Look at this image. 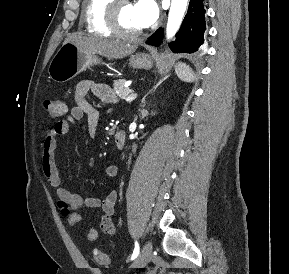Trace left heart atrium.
<instances>
[{"label": "left heart atrium", "mask_w": 289, "mask_h": 274, "mask_svg": "<svg viewBox=\"0 0 289 274\" xmlns=\"http://www.w3.org/2000/svg\"><path fill=\"white\" fill-rule=\"evenodd\" d=\"M137 22L142 28L152 25L158 17V6L155 0H138L134 5Z\"/></svg>", "instance_id": "39dd6f15"}]
</instances>
